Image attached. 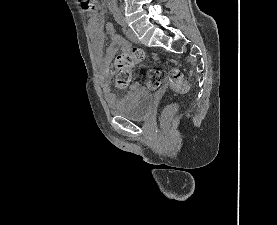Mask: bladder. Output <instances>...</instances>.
<instances>
[{"mask_svg": "<svg viewBox=\"0 0 277 225\" xmlns=\"http://www.w3.org/2000/svg\"><path fill=\"white\" fill-rule=\"evenodd\" d=\"M153 106L154 98L151 92L134 89L112 103L109 111L112 115L130 120H145L150 116Z\"/></svg>", "mask_w": 277, "mask_h": 225, "instance_id": "bladder-1", "label": "bladder"}]
</instances>
